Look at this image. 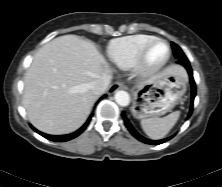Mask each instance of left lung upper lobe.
<instances>
[{
	"label": "left lung upper lobe",
	"instance_id": "obj_1",
	"mask_svg": "<svg viewBox=\"0 0 222 187\" xmlns=\"http://www.w3.org/2000/svg\"><path fill=\"white\" fill-rule=\"evenodd\" d=\"M172 44V48H173V53H174V56L178 59V60H186L187 57L186 55L184 54V52L181 50V48L176 45L175 43H171Z\"/></svg>",
	"mask_w": 222,
	"mask_h": 187
}]
</instances>
